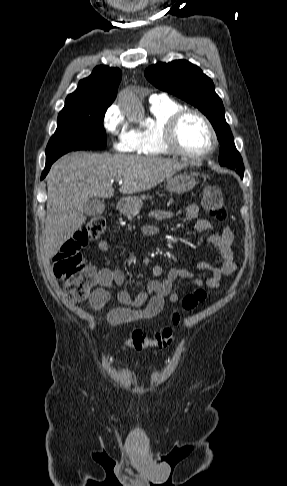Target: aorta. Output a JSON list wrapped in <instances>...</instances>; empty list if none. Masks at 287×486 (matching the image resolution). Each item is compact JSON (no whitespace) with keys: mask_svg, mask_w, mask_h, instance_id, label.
<instances>
[{"mask_svg":"<svg viewBox=\"0 0 287 486\" xmlns=\"http://www.w3.org/2000/svg\"><path fill=\"white\" fill-rule=\"evenodd\" d=\"M122 108L129 119L136 120L140 117L139 102L135 97L127 96L122 103Z\"/></svg>","mask_w":287,"mask_h":486,"instance_id":"1","label":"aorta"}]
</instances>
